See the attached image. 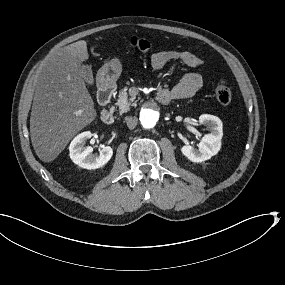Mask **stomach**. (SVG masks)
<instances>
[{
	"mask_svg": "<svg viewBox=\"0 0 285 285\" xmlns=\"http://www.w3.org/2000/svg\"><path fill=\"white\" fill-rule=\"evenodd\" d=\"M122 72V64L120 59L117 56H113L107 62V65L104 66L97 75V80L103 85H111L116 82Z\"/></svg>",
	"mask_w": 285,
	"mask_h": 285,
	"instance_id": "1",
	"label": "stomach"
}]
</instances>
